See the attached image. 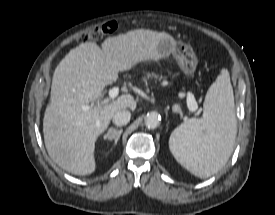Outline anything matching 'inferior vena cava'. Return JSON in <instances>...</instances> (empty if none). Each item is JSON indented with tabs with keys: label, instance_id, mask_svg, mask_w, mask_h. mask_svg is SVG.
<instances>
[{
	"label": "inferior vena cava",
	"instance_id": "obj_1",
	"mask_svg": "<svg viewBox=\"0 0 275 215\" xmlns=\"http://www.w3.org/2000/svg\"><path fill=\"white\" fill-rule=\"evenodd\" d=\"M131 118V113L126 109H121L117 111L113 116V122L117 126H123L126 125Z\"/></svg>",
	"mask_w": 275,
	"mask_h": 215
}]
</instances>
